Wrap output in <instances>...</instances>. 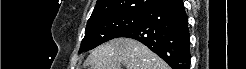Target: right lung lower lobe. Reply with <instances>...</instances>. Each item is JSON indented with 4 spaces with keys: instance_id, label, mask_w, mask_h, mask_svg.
Here are the masks:
<instances>
[{
    "instance_id": "obj_1",
    "label": "right lung lower lobe",
    "mask_w": 246,
    "mask_h": 69,
    "mask_svg": "<svg viewBox=\"0 0 246 69\" xmlns=\"http://www.w3.org/2000/svg\"><path fill=\"white\" fill-rule=\"evenodd\" d=\"M119 37L142 42L173 69H189L190 36L182 0H167L148 9L138 25Z\"/></svg>"
}]
</instances>
